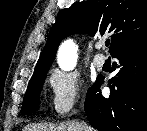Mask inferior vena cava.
I'll list each match as a JSON object with an SVG mask.
<instances>
[{
	"instance_id": "602c4592",
	"label": "inferior vena cava",
	"mask_w": 147,
	"mask_h": 131,
	"mask_svg": "<svg viewBox=\"0 0 147 131\" xmlns=\"http://www.w3.org/2000/svg\"><path fill=\"white\" fill-rule=\"evenodd\" d=\"M81 126H82L83 131H90L89 127L87 126V124L84 121L81 123Z\"/></svg>"
}]
</instances>
